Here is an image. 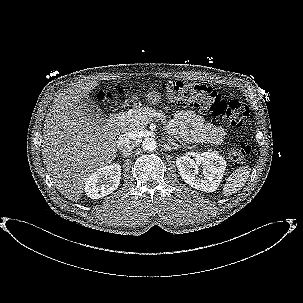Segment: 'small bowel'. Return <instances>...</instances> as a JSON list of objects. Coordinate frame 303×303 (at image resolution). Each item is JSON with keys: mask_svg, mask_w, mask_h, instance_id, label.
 Listing matches in <instances>:
<instances>
[{"mask_svg": "<svg viewBox=\"0 0 303 303\" xmlns=\"http://www.w3.org/2000/svg\"><path fill=\"white\" fill-rule=\"evenodd\" d=\"M170 133L179 134L189 143H222L225 131L222 127L205 123L204 119L192 110H182L168 124Z\"/></svg>", "mask_w": 303, "mask_h": 303, "instance_id": "c3829d8e", "label": "small bowel"}]
</instances>
